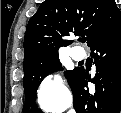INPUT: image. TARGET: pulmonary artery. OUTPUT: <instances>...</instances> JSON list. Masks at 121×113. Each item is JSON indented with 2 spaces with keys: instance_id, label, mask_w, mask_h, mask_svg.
<instances>
[{
  "instance_id": "pulmonary-artery-1",
  "label": "pulmonary artery",
  "mask_w": 121,
  "mask_h": 113,
  "mask_svg": "<svg viewBox=\"0 0 121 113\" xmlns=\"http://www.w3.org/2000/svg\"><path fill=\"white\" fill-rule=\"evenodd\" d=\"M71 56L74 60H82L85 57V53L83 50L73 48L71 50Z\"/></svg>"
}]
</instances>
